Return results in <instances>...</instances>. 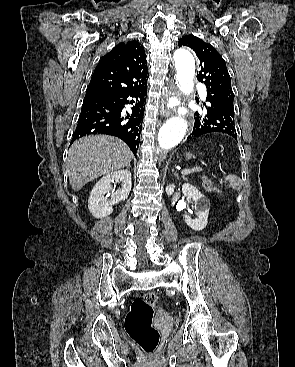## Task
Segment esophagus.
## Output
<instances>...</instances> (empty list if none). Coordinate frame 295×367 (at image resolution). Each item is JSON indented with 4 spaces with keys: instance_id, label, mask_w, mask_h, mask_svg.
<instances>
[{
    "instance_id": "34e87169",
    "label": "esophagus",
    "mask_w": 295,
    "mask_h": 367,
    "mask_svg": "<svg viewBox=\"0 0 295 367\" xmlns=\"http://www.w3.org/2000/svg\"><path fill=\"white\" fill-rule=\"evenodd\" d=\"M176 94V86L173 81L170 82L166 92L163 94L160 105V114L163 117H169L172 114V110L167 107V101L169 98Z\"/></svg>"
}]
</instances>
